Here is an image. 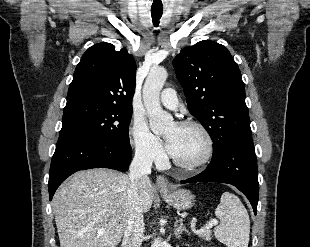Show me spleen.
Returning <instances> with one entry per match:
<instances>
[{"label":"spleen","mask_w":310,"mask_h":247,"mask_svg":"<svg viewBox=\"0 0 310 247\" xmlns=\"http://www.w3.org/2000/svg\"><path fill=\"white\" fill-rule=\"evenodd\" d=\"M220 224L214 229L215 237L227 247H248L250 219L241 200L224 192L215 210Z\"/></svg>","instance_id":"obj_1"}]
</instances>
